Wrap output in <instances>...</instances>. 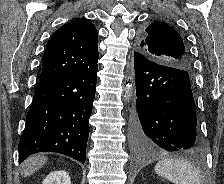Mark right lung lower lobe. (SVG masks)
<instances>
[{"label":"right lung lower lobe","mask_w":224,"mask_h":184,"mask_svg":"<svg viewBox=\"0 0 224 184\" xmlns=\"http://www.w3.org/2000/svg\"><path fill=\"white\" fill-rule=\"evenodd\" d=\"M98 65L39 80L19 142V162L37 152H56L85 163L89 118Z\"/></svg>","instance_id":"1"}]
</instances>
